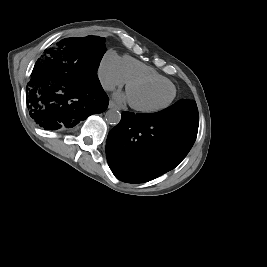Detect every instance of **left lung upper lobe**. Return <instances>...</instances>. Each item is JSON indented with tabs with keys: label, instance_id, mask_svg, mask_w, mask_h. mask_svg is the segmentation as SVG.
<instances>
[{
	"label": "left lung upper lobe",
	"instance_id": "1",
	"mask_svg": "<svg viewBox=\"0 0 267 267\" xmlns=\"http://www.w3.org/2000/svg\"><path fill=\"white\" fill-rule=\"evenodd\" d=\"M163 111H178L198 115L197 105L194 100H179L174 105L164 109Z\"/></svg>",
	"mask_w": 267,
	"mask_h": 267
}]
</instances>
